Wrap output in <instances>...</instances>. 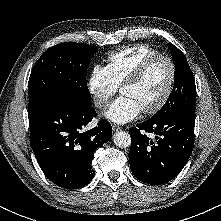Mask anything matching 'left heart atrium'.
<instances>
[{
    "mask_svg": "<svg viewBox=\"0 0 221 221\" xmlns=\"http://www.w3.org/2000/svg\"><path fill=\"white\" fill-rule=\"evenodd\" d=\"M141 111L134 100L122 95L109 106L104 115L115 123L124 124L136 118Z\"/></svg>",
    "mask_w": 221,
    "mask_h": 221,
    "instance_id": "1",
    "label": "left heart atrium"
}]
</instances>
